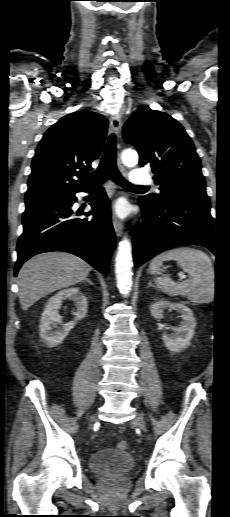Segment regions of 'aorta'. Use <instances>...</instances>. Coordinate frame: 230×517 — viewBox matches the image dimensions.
I'll list each match as a JSON object with an SVG mask.
<instances>
[{"instance_id": "762f6f07", "label": "aorta", "mask_w": 230, "mask_h": 517, "mask_svg": "<svg viewBox=\"0 0 230 517\" xmlns=\"http://www.w3.org/2000/svg\"><path fill=\"white\" fill-rule=\"evenodd\" d=\"M121 159L126 166L133 167L138 162V154L134 150L126 149L121 153ZM115 274L117 286L123 295H128L132 288V253L131 242L124 236L118 246L115 260Z\"/></svg>"}]
</instances>
